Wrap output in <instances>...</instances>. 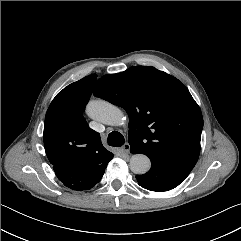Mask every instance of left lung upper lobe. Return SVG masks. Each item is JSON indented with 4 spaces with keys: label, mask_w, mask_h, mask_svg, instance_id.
Here are the masks:
<instances>
[{
    "label": "left lung upper lobe",
    "mask_w": 241,
    "mask_h": 241,
    "mask_svg": "<svg viewBox=\"0 0 241 241\" xmlns=\"http://www.w3.org/2000/svg\"><path fill=\"white\" fill-rule=\"evenodd\" d=\"M93 94L126 110L128 141L151 161L191 172L200 154L202 113L184 84L154 67L101 77Z\"/></svg>",
    "instance_id": "1"
}]
</instances>
